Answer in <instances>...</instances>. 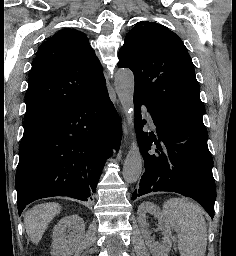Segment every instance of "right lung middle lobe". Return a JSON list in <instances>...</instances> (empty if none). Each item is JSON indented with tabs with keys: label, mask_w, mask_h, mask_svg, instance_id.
<instances>
[{
	"label": "right lung middle lobe",
	"mask_w": 236,
	"mask_h": 256,
	"mask_svg": "<svg viewBox=\"0 0 236 256\" xmlns=\"http://www.w3.org/2000/svg\"><path fill=\"white\" fill-rule=\"evenodd\" d=\"M45 122L40 121H30V122H24V134L31 132L32 130L38 128Z\"/></svg>",
	"instance_id": "right-lung-middle-lobe-1"
}]
</instances>
